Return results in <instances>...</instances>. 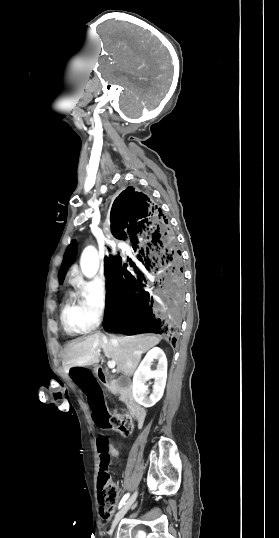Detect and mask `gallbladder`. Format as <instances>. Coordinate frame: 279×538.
Instances as JSON below:
<instances>
[{"label":"gallbladder","mask_w":279,"mask_h":538,"mask_svg":"<svg viewBox=\"0 0 279 538\" xmlns=\"http://www.w3.org/2000/svg\"><path fill=\"white\" fill-rule=\"evenodd\" d=\"M116 384L118 387H127L129 384V379L127 376H118L116 379Z\"/></svg>","instance_id":"1"}]
</instances>
